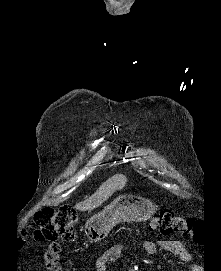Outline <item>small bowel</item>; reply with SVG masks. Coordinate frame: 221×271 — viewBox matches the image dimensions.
<instances>
[{"mask_svg": "<svg viewBox=\"0 0 221 271\" xmlns=\"http://www.w3.org/2000/svg\"><path fill=\"white\" fill-rule=\"evenodd\" d=\"M142 248L147 254H155L158 249L167 251L176 255L184 263H191V253L184 247V245L174 239H162L158 242L145 240L141 242ZM123 245L121 243L115 244L105 250L95 261L96 271H107L108 264L117 261L122 254Z\"/></svg>", "mask_w": 221, "mask_h": 271, "instance_id": "obj_1", "label": "small bowel"}]
</instances>
